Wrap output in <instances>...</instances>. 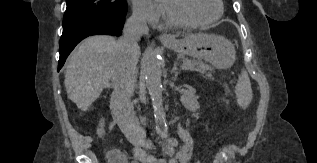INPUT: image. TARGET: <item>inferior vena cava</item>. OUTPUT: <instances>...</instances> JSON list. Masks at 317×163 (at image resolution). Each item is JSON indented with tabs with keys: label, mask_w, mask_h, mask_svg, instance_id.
I'll use <instances>...</instances> for the list:
<instances>
[{
	"label": "inferior vena cava",
	"mask_w": 317,
	"mask_h": 163,
	"mask_svg": "<svg viewBox=\"0 0 317 163\" xmlns=\"http://www.w3.org/2000/svg\"><path fill=\"white\" fill-rule=\"evenodd\" d=\"M148 32L145 15L140 11H133L124 25L123 35L118 42V59L112 76L114 89L110 101L112 115L127 140L135 146L143 144L146 138V133L136 117L131 96L137 78L138 41Z\"/></svg>",
	"instance_id": "602c4592"
}]
</instances>
